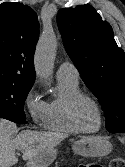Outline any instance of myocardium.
<instances>
[{"instance_id": "myocardium-1", "label": "myocardium", "mask_w": 125, "mask_h": 167, "mask_svg": "<svg viewBox=\"0 0 125 167\" xmlns=\"http://www.w3.org/2000/svg\"><path fill=\"white\" fill-rule=\"evenodd\" d=\"M83 101L91 102L98 111L99 125L94 130H88V129L83 128L78 121L77 112H78V108H79L80 104ZM68 113H69V118H70L71 123L81 133H87V134L97 133L103 125V111H102L101 105L99 104V102L94 97H92L88 94L80 93V94L74 96L70 100V103H69V106H68Z\"/></svg>"}]
</instances>
